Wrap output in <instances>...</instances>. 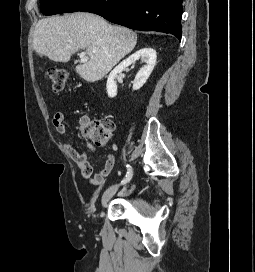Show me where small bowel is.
<instances>
[{
	"label": "small bowel",
	"mask_w": 255,
	"mask_h": 272,
	"mask_svg": "<svg viewBox=\"0 0 255 272\" xmlns=\"http://www.w3.org/2000/svg\"><path fill=\"white\" fill-rule=\"evenodd\" d=\"M52 124L55 130L59 133L64 135L65 134V125H64V114L62 112H56L52 119ZM84 125V121H81L80 126ZM86 145L89 150L95 153H100L101 151L96 148L92 143L86 142ZM64 149L74 161V163L80 169L82 175L85 178H88L90 183L95 186H101L104 184L106 178L108 177L109 173L111 172L113 165H114V155L112 152L107 151L104 152L106 159L101 167L100 171L93 175L94 166L90 163L89 158L86 153L80 152L74 143L69 140L65 139L63 142ZM93 175V176H92Z\"/></svg>",
	"instance_id": "1"
}]
</instances>
